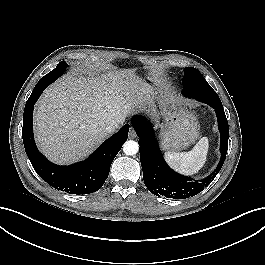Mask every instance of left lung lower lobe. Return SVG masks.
I'll return each instance as SVG.
<instances>
[{"label":"left lung lower lobe","instance_id":"1","mask_svg":"<svg viewBox=\"0 0 265 265\" xmlns=\"http://www.w3.org/2000/svg\"><path fill=\"white\" fill-rule=\"evenodd\" d=\"M183 94L206 103L215 109L221 135V160L214 172L201 181L176 173L166 164L155 139L151 123L142 116H134L132 125L139 137L143 180L149 191L156 196L162 195L167 198L186 199L200 193L219 173L226 157L229 127L217 93L210 85H196L187 88Z\"/></svg>","mask_w":265,"mask_h":265}]
</instances>
